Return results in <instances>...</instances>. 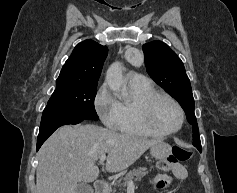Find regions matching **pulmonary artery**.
Masks as SVG:
<instances>
[{
    "label": "pulmonary artery",
    "instance_id": "pulmonary-artery-1",
    "mask_svg": "<svg viewBox=\"0 0 237 193\" xmlns=\"http://www.w3.org/2000/svg\"><path fill=\"white\" fill-rule=\"evenodd\" d=\"M129 80L134 84H147L150 83L149 79L142 74L133 73L129 76Z\"/></svg>",
    "mask_w": 237,
    "mask_h": 193
}]
</instances>
